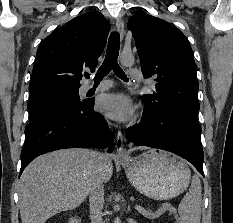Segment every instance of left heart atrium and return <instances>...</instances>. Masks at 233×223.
Here are the masks:
<instances>
[{"instance_id": "obj_1", "label": "left heart atrium", "mask_w": 233, "mask_h": 223, "mask_svg": "<svg viewBox=\"0 0 233 223\" xmlns=\"http://www.w3.org/2000/svg\"><path fill=\"white\" fill-rule=\"evenodd\" d=\"M99 111L108 119L127 122L135 114V105L123 94L104 96L99 101Z\"/></svg>"}]
</instances>
